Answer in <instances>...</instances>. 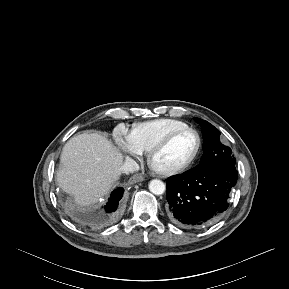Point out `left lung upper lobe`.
Masks as SVG:
<instances>
[{
  "label": "left lung upper lobe",
  "mask_w": 289,
  "mask_h": 289,
  "mask_svg": "<svg viewBox=\"0 0 289 289\" xmlns=\"http://www.w3.org/2000/svg\"><path fill=\"white\" fill-rule=\"evenodd\" d=\"M200 124L203 134V156L197 168L211 167L217 164L235 165L231 149L220 142V132L209 122L194 118Z\"/></svg>",
  "instance_id": "5c2ea615"
}]
</instances>
